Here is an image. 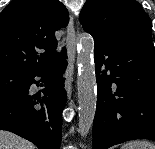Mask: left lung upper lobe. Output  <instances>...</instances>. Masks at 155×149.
Masks as SVG:
<instances>
[{
    "label": "left lung upper lobe",
    "mask_w": 155,
    "mask_h": 149,
    "mask_svg": "<svg viewBox=\"0 0 155 149\" xmlns=\"http://www.w3.org/2000/svg\"><path fill=\"white\" fill-rule=\"evenodd\" d=\"M79 19L95 44L151 40L152 21L135 0H87Z\"/></svg>",
    "instance_id": "1"
}]
</instances>
